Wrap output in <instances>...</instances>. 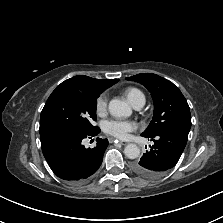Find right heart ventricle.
<instances>
[{"label": "right heart ventricle", "instance_id": "e07e8e85", "mask_svg": "<svg viewBox=\"0 0 223 223\" xmlns=\"http://www.w3.org/2000/svg\"><path fill=\"white\" fill-rule=\"evenodd\" d=\"M125 96L129 100V102L134 106L140 101H145V96L142 93L141 90L134 88V87H129L125 91Z\"/></svg>", "mask_w": 223, "mask_h": 223}]
</instances>
